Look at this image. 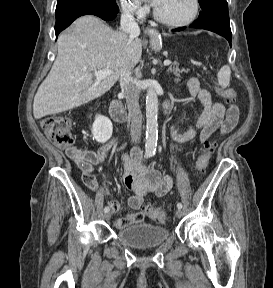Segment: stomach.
<instances>
[{
  "instance_id": "obj_1",
  "label": "stomach",
  "mask_w": 273,
  "mask_h": 288,
  "mask_svg": "<svg viewBox=\"0 0 273 288\" xmlns=\"http://www.w3.org/2000/svg\"><path fill=\"white\" fill-rule=\"evenodd\" d=\"M151 47L156 50L159 51L161 49V39L159 37H157L156 39L151 41Z\"/></svg>"
}]
</instances>
